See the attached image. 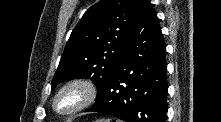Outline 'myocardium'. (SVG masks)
Here are the masks:
<instances>
[{
	"instance_id": "f54148a6",
	"label": "myocardium",
	"mask_w": 221,
	"mask_h": 122,
	"mask_svg": "<svg viewBox=\"0 0 221 122\" xmlns=\"http://www.w3.org/2000/svg\"><path fill=\"white\" fill-rule=\"evenodd\" d=\"M74 92L78 95V102L72 108L61 109L58 104L60 99L67 93ZM97 88L95 84L86 78H73L62 84L56 91L53 100V110L62 116L77 114L88 108L96 99Z\"/></svg>"
}]
</instances>
